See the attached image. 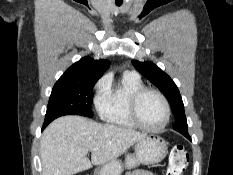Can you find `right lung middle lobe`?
Wrapping results in <instances>:
<instances>
[{"mask_svg": "<svg viewBox=\"0 0 233 175\" xmlns=\"http://www.w3.org/2000/svg\"><path fill=\"white\" fill-rule=\"evenodd\" d=\"M97 80L56 82L47 106L43 128L64 115L93 117L90 99Z\"/></svg>", "mask_w": 233, "mask_h": 175, "instance_id": "right-lung-middle-lobe-1", "label": "right lung middle lobe"}]
</instances>
